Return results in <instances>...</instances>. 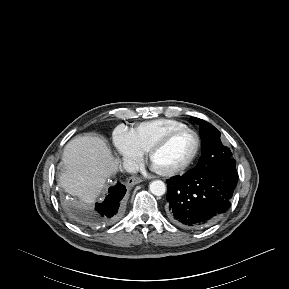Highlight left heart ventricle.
Returning a JSON list of instances; mask_svg holds the SVG:
<instances>
[{"label": "left heart ventricle", "instance_id": "left-heart-ventricle-1", "mask_svg": "<svg viewBox=\"0 0 289 289\" xmlns=\"http://www.w3.org/2000/svg\"><path fill=\"white\" fill-rule=\"evenodd\" d=\"M195 145L196 140L193 134H179L154 155L151 165L158 171L174 169L189 159Z\"/></svg>", "mask_w": 289, "mask_h": 289}]
</instances>
